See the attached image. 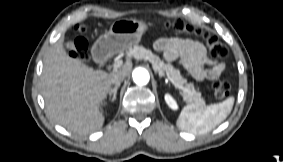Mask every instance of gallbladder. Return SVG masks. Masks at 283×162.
<instances>
[{"mask_svg":"<svg viewBox=\"0 0 283 162\" xmlns=\"http://www.w3.org/2000/svg\"><path fill=\"white\" fill-rule=\"evenodd\" d=\"M65 48H66L67 50H72V49H74V44H73V42H72V41L66 42V43H65Z\"/></svg>","mask_w":283,"mask_h":162,"instance_id":"bac80fb5","label":"gallbladder"}]
</instances>
